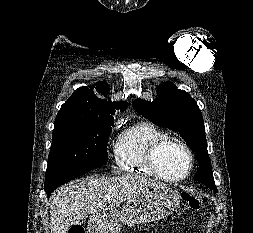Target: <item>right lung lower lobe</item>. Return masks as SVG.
<instances>
[{"label": "right lung lower lobe", "mask_w": 253, "mask_h": 233, "mask_svg": "<svg viewBox=\"0 0 253 233\" xmlns=\"http://www.w3.org/2000/svg\"><path fill=\"white\" fill-rule=\"evenodd\" d=\"M90 170V168L86 167L68 168L45 176L44 187L47 196L49 197L51 192L54 191L57 187L87 173Z\"/></svg>", "instance_id": "obj_1"}]
</instances>
